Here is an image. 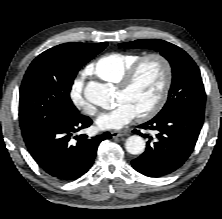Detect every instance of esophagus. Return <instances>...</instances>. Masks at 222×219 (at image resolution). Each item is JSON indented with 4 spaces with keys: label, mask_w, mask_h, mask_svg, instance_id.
Instances as JSON below:
<instances>
[{
    "label": "esophagus",
    "mask_w": 222,
    "mask_h": 219,
    "mask_svg": "<svg viewBox=\"0 0 222 219\" xmlns=\"http://www.w3.org/2000/svg\"><path fill=\"white\" fill-rule=\"evenodd\" d=\"M128 131L124 130V131H112L111 132V135L113 138L115 137H120V136H125V135H128Z\"/></svg>",
    "instance_id": "1"
}]
</instances>
